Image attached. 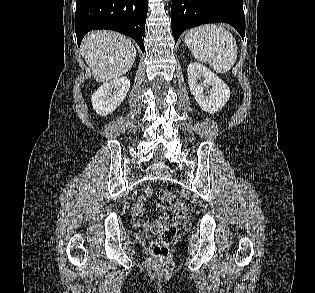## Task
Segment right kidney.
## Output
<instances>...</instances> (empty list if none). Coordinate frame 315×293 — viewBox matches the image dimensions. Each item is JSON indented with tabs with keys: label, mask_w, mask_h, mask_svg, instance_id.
<instances>
[{
	"label": "right kidney",
	"mask_w": 315,
	"mask_h": 293,
	"mask_svg": "<svg viewBox=\"0 0 315 293\" xmlns=\"http://www.w3.org/2000/svg\"><path fill=\"white\" fill-rule=\"evenodd\" d=\"M130 88L126 77L113 79L101 85L92 95L91 102L97 114L106 116L123 102Z\"/></svg>",
	"instance_id": "right-kidney-1"
}]
</instances>
